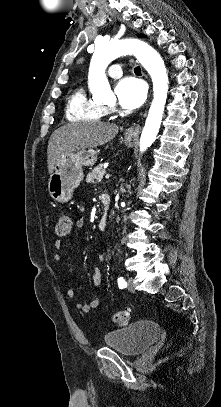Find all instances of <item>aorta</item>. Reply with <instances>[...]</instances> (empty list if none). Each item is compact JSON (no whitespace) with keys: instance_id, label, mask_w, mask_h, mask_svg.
Segmentation results:
<instances>
[{"instance_id":"obj_1","label":"aorta","mask_w":221,"mask_h":407,"mask_svg":"<svg viewBox=\"0 0 221 407\" xmlns=\"http://www.w3.org/2000/svg\"><path fill=\"white\" fill-rule=\"evenodd\" d=\"M126 54L135 55L153 82V101L140 138V151L143 152L156 139L167 99L168 75L160 55L150 45L138 39L100 42L96 44L91 59L88 84L95 100L109 99L112 91L105 70L114 59Z\"/></svg>"}]
</instances>
